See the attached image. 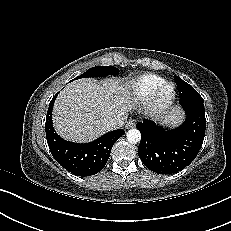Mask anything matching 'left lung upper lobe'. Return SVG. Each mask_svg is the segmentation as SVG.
Here are the masks:
<instances>
[{"label":"left lung upper lobe","instance_id":"left-lung-upper-lobe-1","mask_svg":"<svg viewBox=\"0 0 231 231\" xmlns=\"http://www.w3.org/2000/svg\"><path fill=\"white\" fill-rule=\"evenodd\" d=\"M174 79L178 86L180 101H204L201 95L191 85L178 76H174Z\"/></svg>","mask_w":231,"mask_h":231}]
</instances>
